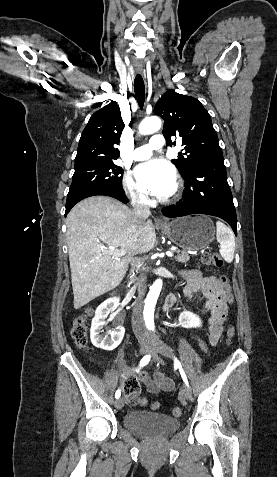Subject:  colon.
I'll use <instances>...</instances> for the list:
<instances>
[{
	"label": "colon",
	"mask_w": 277,
	"mask_h": 477,
	"mask_svg": "<svg viewBox=\"0 0 277 477\" xmlns=\"http://www.w3.org/2000/svg\"><path fill=\"white\" fill-rule=\"evenodd\" d=\"M201 263L204 265L205 268H214V267H221L223 265L222 258L216 253H209L206 252L201 256ZM220 283L224 286L223 290L227 297V302L229 305H232L234 302V290L229 285V279L226 275H221L219 277ZM90 314V310H86L83 314L78 316L73 323V327L71 330L72 338L74 339L75 344L80 349H85L88 344L87 339V327L86 321ZM233 335V328H229L228 336L231 337ZM124 392L129 400V402L133 405L141 404L142 398H140V387L132 380L126 381L124 385ZM160 407V403L155 401L151 403V409L157 410ZM182 414V409L180 407H175L173 409V415L180 416Z\"/></svg>",
	"instance_id": "colon-1"
}]
</instances>
